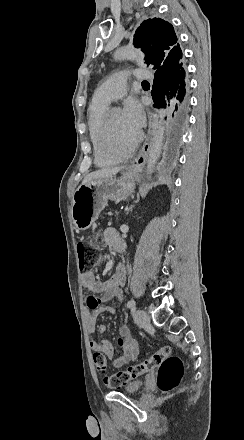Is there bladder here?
Instances as JSON below:
<instances>
[{"label": "bladder", "mask_w": 244, "mask_h": 440, "mask_svg": "<svg viewBox=\"0 0 244 440\" xmlns=\"http://www.w3.org/2000/svg\"><path fill=\"white\" fill-rule=\"evenodd\" d=\"M144 386V380L136 379L130 382L128 385L123 386L124 393H137Z\"/></svg>", "instance_id": "31cf9c89"}]
</instances>
